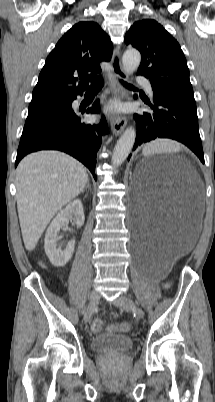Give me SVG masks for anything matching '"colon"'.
Segmentation results:
<instances>
[{"label": "colon", "mask_w": 215, "mask_h": 402, "mask_svg": "<svg viewBox=\"0 0 215 402\" xmlns=\"http://www.w3.org/2000/svg\"><path fill=\"white\" fill-rule=\"evenodd\" d=\"M166 287H169V284H166ZM117 331L126 332L129 330V325L126 323H120L113 327ZM91 329L94 333H98L103 329V322L100 319H96L93 321L91 325Z\"/></svg>", "instance_id": "colon-1"}]
</instances>
